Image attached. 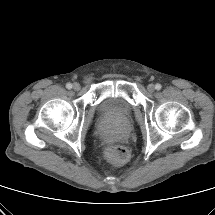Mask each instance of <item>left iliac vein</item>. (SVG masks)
Returning a JSON list of instances; mask_svg holds the SVG:
<instances>
[{"label":"left iliac vein","mask_w":215,"mask_h":215,"mask_svg":"<svg viewBox=\"0 0 215 215\" xmlns=\"http://www.w3.org/2000/svg\"><path fill=\"white\" fill-rule=\"evenodd\" d=\"M147 90H148L150 93H153L154 90H155V86H154L153 84H149V85L147 86Z\"/></svg>","instance_id":"1"}]
</instances>
